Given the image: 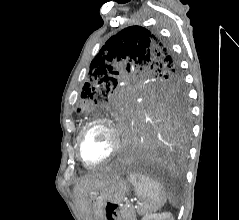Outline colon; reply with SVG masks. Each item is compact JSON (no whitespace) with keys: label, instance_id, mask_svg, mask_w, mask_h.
<instances>
[{"label":"colon","instance_id":"obj_1","mask_svg":"<svg viewBox=\"0 0 239 220\" xmlns=\"http://www.w3.org/2000/svg\"><path fill=\"white\" fill-rule=\"evenodd\" d=\"M119 205L116 203H108L105 208L107 220H119L117 217V209Z\"/></svg>","mask_w":239,"mask_h":220}]
</instances>
